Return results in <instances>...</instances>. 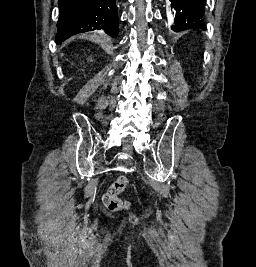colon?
Returning a JSON list of instances; mask_svg holds the SVG:
<instances>
[{"label":"colon","mask_w":256,"mask_h":267,"mask_svg":"<svg viewBox=\"0 0 256 267\" xmlns=\"http://www.w3.org/2000/svg\"><path fill=\"white\" fill-rule=\"evenodd\" d=\"M129 182L126 177L122 176L114 180L102 197L106 208L110 211H118L125 207V203L120 195L128 188Z\"/></svg>","instance_id":"5ec220e1"}]
</instances>
